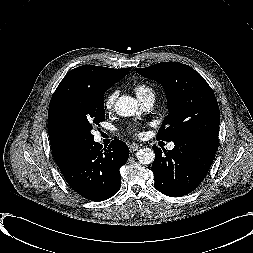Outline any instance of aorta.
I'll use <instances>...</instances> for the list:
<instances>
[{
    "label": "aorta",
    "instance_id": "1",
    "mask_svg": "<svg viewBox=\"0 0 253 253\" xmlns=\"http://www.w3.org/2000/svg\"><path fill=\"white\" fill-rule=\"evenodd\" d=\"M138 109V101L131 96H121L115 104L117 114L123 117L138 114ZM136 157L141 164H151L154 161L155 153L153 149L144 147L137 151Z\"/></svg>",
    "mask_w": 253,
    "mask_h": 253
}]
</instances>
